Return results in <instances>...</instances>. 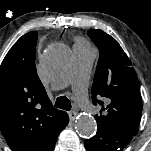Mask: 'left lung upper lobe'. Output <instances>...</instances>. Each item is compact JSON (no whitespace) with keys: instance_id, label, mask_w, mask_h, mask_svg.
<instances>
[{"instance_id":"left-lung-upper-lobe-1","label":"left lung upper lobe","mask_w":151,"mask_h":151,"mask_svg":"<svg viewBox=\"0 0 151 151\" xmlns=\"http://www.w3.org/2000/svg\"><path fill=\"white\" fill-rule=\"evenodd\" d=\"M89 37L99 49V61L91 89L98 127L135 136L142 114L139 81L131 61L119 43L99 29H90Z\"/></svg>"}]
</instances>
